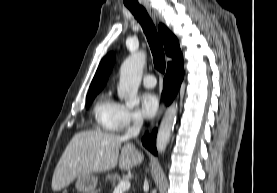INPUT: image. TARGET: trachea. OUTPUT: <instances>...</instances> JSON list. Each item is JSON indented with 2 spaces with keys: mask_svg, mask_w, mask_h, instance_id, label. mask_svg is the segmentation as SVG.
<instances>
[{
  "mask_svg": "<svg viewBox=\"0 0 277 193\" xmlns=\"http://www.w3.org/2000/svg\"><path fill=\"white\" fill-rule=\"evenodd\" d=\"M127 8L131 11L137 21L140 23L147 41L149 43L152 55H153V62L155 68L164 73L165 71V54L162 42L157 34V30L153 21L149 17L146 9L143 6L135 5L130 6L127 5Z\"/></svg>",
  "mask_w": 277,
  "mask_h": 193,
  "instance_id": "1",
  "label": "trachea"
}]
</instances>
